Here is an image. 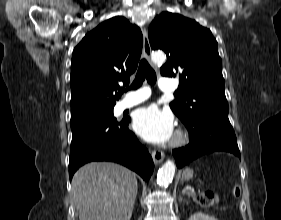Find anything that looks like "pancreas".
<instances>
[{
	"label": "pancreas",
	"mask_w": 281,
	"mask_h": 220,
	"mask_svg": "<svg viewBox=\"0 0 281 220\" xmlns=\"http://www.w3.org/2000/svg\"><path fill=\"white\" fill-rule=\"evenodd\" d=\"M188 196L192 197L193 200H196V198H197V195L194 192H188Z\"/></svg>",
	"instance_id": "obj_1"
}]
</instances>
